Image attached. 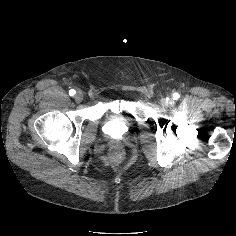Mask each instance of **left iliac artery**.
Instances as JSON below:
<instances>
[{"mask_svg": "<svg viewBox=\"0 0 236 236\" xmlns=\"http://www.w3.org/2000/svg\"><path fill=\"white\" fill-rule=\"evenodd\" d=\"M180 95L178 93H174L173 94V99L177 100L179 99Z\"/></svg>", "mask_w": 236, "mask_h": 236, "instance_id": "left-iliac-artery-1", "label": "left iliac artery"}]
</instances>
